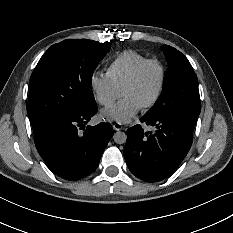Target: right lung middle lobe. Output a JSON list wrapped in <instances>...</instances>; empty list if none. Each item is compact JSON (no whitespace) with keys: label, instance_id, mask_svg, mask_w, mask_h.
Here are the masks:
<instances>
[{"label":"right lung middle lobe","instance_id":"dd1d6c3e","mask_svg":"<svg viewBox=\"0 0 233 233\" xmlns=\"http://www.w3.org/2000/svg\"><path fill=\"white\" fill-rule=\"evenodd\" d=\"M110 43L68 39L52 45L31 78L27 113L31 124L65 118L84 102H94L92 74Z\"/></svg>","mask_w":233,"mask_h":233}]
</instances>
